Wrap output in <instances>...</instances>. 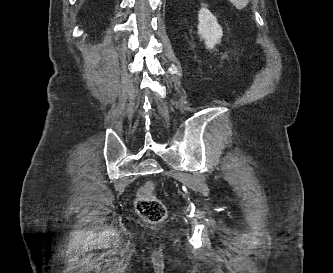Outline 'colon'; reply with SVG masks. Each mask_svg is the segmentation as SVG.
I'll list each match as a JSON object with an SVG mask.
<instances>
[{"label": "colon", "instance_id": "obj_1", "mask_svg": "<svg viewBox=\"0 0 333 273\" xmlns=\"http://www.w3.org/2000/svg\"><path fill=\"white\" fill-rule=\"evenodd\" d=\"M135 208L137 213L150 223H160L166 218V207L152 194V184L150 182L139 192Z\"/></svg>", "mask_w": 333, "mask_h": 273}]
</instances>
